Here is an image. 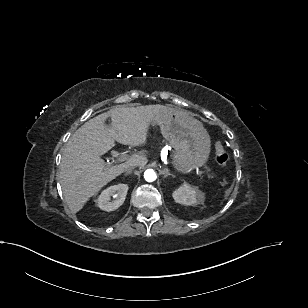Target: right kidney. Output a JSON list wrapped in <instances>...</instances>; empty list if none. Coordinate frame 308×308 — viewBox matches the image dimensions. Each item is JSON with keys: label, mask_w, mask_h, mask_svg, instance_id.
I'll return each mask as SVG.
<instances>
[{"label": "right kidney", "mask_w": 308, "mask_h": 308, "mask_svg": "<svg viewBox=\"0 0 308 308\" xmlns=\"http://www.w3.org/2000/svg\"><path fill=\"white\" fill-rule=\"evenodd\" d=\"M127 191V184H118L108 187L99 195L97 199L98 207L107 212L116 210L124 203ZM111 196L115 197L112 201H110Z\"/></svg>", "instance_id": "obj_1"}]
</instances>
